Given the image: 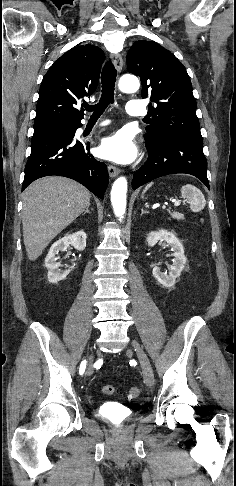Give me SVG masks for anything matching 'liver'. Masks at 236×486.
I'll return each instance as SVG.
<instances>
[{
	"label": "liver",
	"instance_id": "obj_1",
	"mask_svg": "<svg viewBox=\"0 0 236 486\" xmlns=\"http://www.w3.org/2000/svg\"><path fill=\"white\" fill-rule=\"evenodd\" d=\"M90 197L85 187L59 176L38 179L27 187L22 225L29 260H36L51 240L89 207Z\"/></svg>",
	"mask_w": 236,
	"mask_h": 486
}]
</instances>
